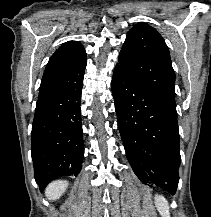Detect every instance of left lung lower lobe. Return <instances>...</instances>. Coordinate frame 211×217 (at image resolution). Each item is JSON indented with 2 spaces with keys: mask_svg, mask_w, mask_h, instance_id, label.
I'll use <instances>...</instances> for the list:
<instances>
[{
  "mask_svg": "<svg viewBox=\"0 0 211 217\" xmlns=\"http://www.w3.org/2000/svg\"><path fill=\"white\" fill-rule=\"evenodd\" d=\"M112 94L118 128L134 173L143 184L175 194L181 161L176 108L118 64Z\"/></svg>",
  "mask_w": 211,
  "mask_h": 217,
  "instance_id": "obj_1",
  "label": "left lung lower lobe"
}]
</instances>
